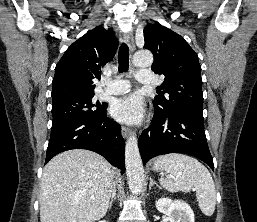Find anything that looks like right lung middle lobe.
Masks as SVG:
<instances>
[{"label": "right lung middle lobe", "mask_w": 257, "mask_h": 222, "mask_svg": "<svg viewBox=\"0 0 257 222\" xmlns=\"http://www.w3.org/2000/svg\"><path fill=\"white\" fill-rule=\"evenodd\" d=\"M94 95L69 97L53 101L52 125L70 119H94L106 112L107 104L92 101Z\"/></svg>", "instance_id": "dd1d6c3e"}]
</instances>
